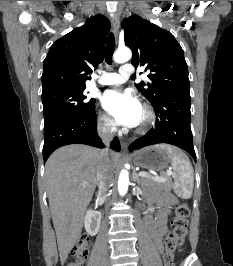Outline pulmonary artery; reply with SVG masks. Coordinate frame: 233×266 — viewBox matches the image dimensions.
I'll return each instance as SVG.
<instances>
[{
    "mask_svg": "<svg viewBox=\"0 0 233 266\" xmlns=\"http://www.w3.org/2000/svg\"><path fill=\"white\" fill-rule=\"evenodd\" d=\"M133 74V67L129 64L123 65L118 73L106 72L99 79L101 85H119L125 82Z\"/></svg>",
    "mask_w": 233,
    "mask_h": 266,
    "instance_id": "1",
    "label": "pulmonary artery"
}]
</instances>
